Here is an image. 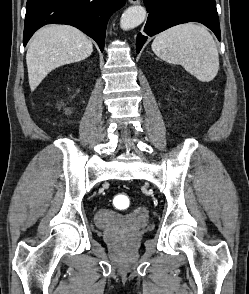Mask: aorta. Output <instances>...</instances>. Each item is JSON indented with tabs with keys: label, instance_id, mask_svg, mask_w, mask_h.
I'll use <instances>...</instances> for the list:
<instances>
[{
	"label": "aorta",
	"instance_id": "obj_1",
	"mask_svg": "<svg viewBox=\"0 0 249 294\" xmlns=\"http://www.w3.org/2000/svg\"><path fill=\"white\" fill-rule=\"evenodd\" d=\"M146 18V10L140 5L126 9L120 19V27L123 30H130L139 26Z\"/></svg>",
	"mask_w": 249,
	"mask_h": 294
}]
</instances>
